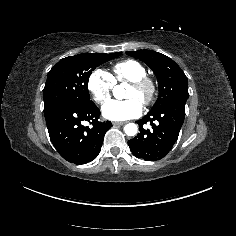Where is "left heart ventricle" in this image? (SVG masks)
<instances>
[{"label":"left heart ventricle","instance_id":"1","mask_svg":"<svg viewBox=\"0 0 236 236\" xmlns=\"http://www.w3.org/2000/svg\"><path fill=\"white\" fill-rule=\"evenodd\" d=\"M143 97H144V94L141 90L136 89V88L131 87V86L128 87V89L126 91V94H125V98L135 99V100L140 101L141 103L143 101Z\"/></svg>","mask_w":236,"mask_h":236}]
</instances>
